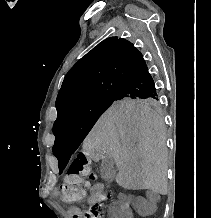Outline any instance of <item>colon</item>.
Masks as SVG:
<instances>
[{
    "label": "colon",
    "mask_w": 211,
    "mask_h": 218,
    "mask_svg": "<svg viewBox=\"0 0 211 218\" xmlns=\"http://www.w3.org/2000/svg\"><path fill=\"white\" fill-rule=\"evenodd\" d=\"M94 180L90 160L84 153L79 154L71 163L59 188L61 199L67 203L82 200ZM82 217L103 218L102 203L91 204L89 209L82 213Z\"/></svg>",
    "instance_id": "colon-1"
}]
</instances>
